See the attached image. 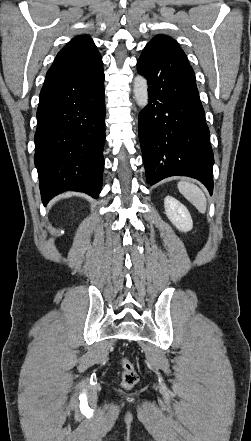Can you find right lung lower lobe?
Returning <instances> with one entry per match:
<instances>
[{
    "label": "right lung lower lobe",
    "instance_id": "98d812e1",
    "mask_svg": "<svg viewBox=\"0 0 251 441\" xmlns=\"http://www.w3.org/2000/svg\"><path fill=\"white\" fill-rule=\"evenodd\" d=\"M104 119L103 65L81 74L46 75L34 137L44 204L67 190L98 198L104 167Z\"/></svg>",
    "mask_w": 251,
    "mask_h": 441
}]
</instances>
